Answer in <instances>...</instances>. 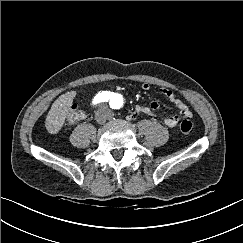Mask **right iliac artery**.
I'll return each instance as SVG.
<instances>
[{
	"label": "right iliac artery",
	"mask_w": 243,
	"mask_h": 243,
	"mask_svg": "<svg viewBox=\"0 0 243 243\" xmlns=\"http://www.w3.org/2000/svg\"><path fill=\"white\" fill-rule=\"evenodd\" d=\"M110 93L106 92V91H102L100 93H98L94 99H93V104H98L101 102H108L110 99Z\"/></svg>",
	"instance_id": "right-iliac-artery-1"
}]
</instances>
